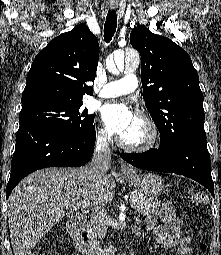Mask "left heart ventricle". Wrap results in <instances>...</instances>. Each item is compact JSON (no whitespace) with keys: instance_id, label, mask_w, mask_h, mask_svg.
Listing matches in <instances>:
<instances>
[{"instance_id":"1","label":"left heart ventricle","mask_w":221,"mask_h":255,"mask_svg":"<svg viewBox=\"0 0 221 255\" xmlns=\"http://www.w3.org/2000/svg\"><path fill=\"white\" fill-rule=\"evenodd\" d=\"M148 136L146 126L135 117L131 127L120 137L129 143H140L146 140Z\"/></svg>"}]
</instances>
